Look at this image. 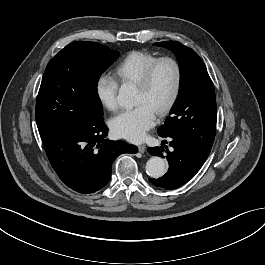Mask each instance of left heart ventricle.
<instances>
[{"label":"left heart ventricle","mask_w":265,"mask_h":265,"mask_svg":"<svg viewBox=\"0 0 265 265\" xmlns=\"http://www.w3.org/2000/svg\"><path fill=\"white\" fill-rule=\"evenodd\" d=\"M175 83V70L172 64H160L153 75L148 90H136L134 104H145L155 113L169 100Z\"/></svg>","instance_id":"left-heart-ventricle-1"}]
</instances>
